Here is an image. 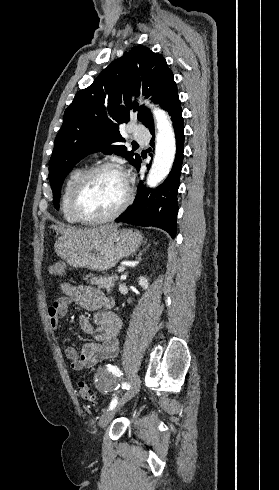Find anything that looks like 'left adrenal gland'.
<instances>
[{"instance_id": "a2214340", "label": "left adrenal gland", "mask_w": 279, "mask_h": 490, "mask_svg": "<svg viewBox=\"0 0 279 490\" xmlns=\"http://www.w3.org/2000/svg\"><path fill=\"white\" fill-rule=\"evenodd\" d=\"M149 246H151V244H148L147 248H149ZM145 250H146V248H144V250H142V252H145ZM142 252H139L136 260H141Z\"/></svg>"}]
</instances>
